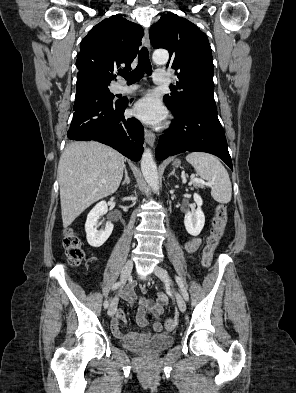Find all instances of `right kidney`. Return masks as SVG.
Instances as JSON below:
<instances>
[{
    "label": "right kidney",
    "mask_w": 296,
    "mask_h": 393,
    "mask_svg": "<svg viewBox=\"0 0 296 393\" xmlns=\"http://www.w3.org/2000/svg\"><path fill=\"white\" fill-rule=\"evenodd\" d=\"M108 211V206L105 201H101L89 212L85 223V231L87 242L92 247L102 246L111 235L114 225L107 223L104 230H97L98 220Z\"/></svg>",
    "instance_id": "ca27d5eb"
}]
</instances>
